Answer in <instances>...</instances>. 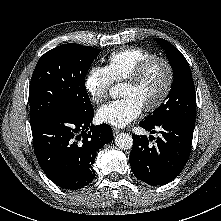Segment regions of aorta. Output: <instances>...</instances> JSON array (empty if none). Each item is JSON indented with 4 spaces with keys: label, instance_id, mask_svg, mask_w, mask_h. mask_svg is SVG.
<instances>
[{
    "label": "aorta",
    "instance_id": "1",
    "mask_svg": "<svg viewBox=\"0 0 221 221\" xmlns=\"http://www.w3.org/2000/svg\"><path fill=\"white\" fill-rule=\"evenodd\" d=\"M115 144L122 150H128L133 146V139L127 133H120L115 137Z\"/></svg>",
    "mask_w": 221,
    "mask_h": 221
}]
</instances>
